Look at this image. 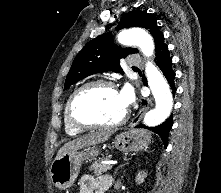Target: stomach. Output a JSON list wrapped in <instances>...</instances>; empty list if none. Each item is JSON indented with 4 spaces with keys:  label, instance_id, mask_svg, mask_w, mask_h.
<instances>
[{
    "label": "stomach",
    "instance_id": "1",
    "mask_svg": "<svg viewBox=\"0 0 221 193\" xmlns=\"http://www.w3.org/2000/svg\"><path fill=\"white\" fill-rule=\"evenodd\" d=\"M151 140L150 132L143 129H130L115 136L114 146L121 152H135L146 148ZM99 155L96 147L75 150L56 157L50 167V177L55 187L66 189L73 185L82 163Z\"/></svg>",
    "mask_w": 221,
    "mask_h": 193
}]
</instances>
